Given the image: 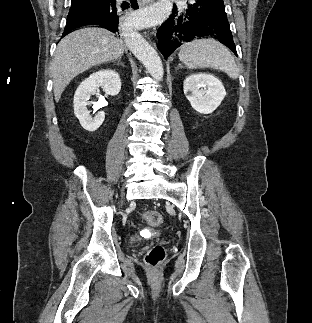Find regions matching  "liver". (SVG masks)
Instances as JSON below:
<instances>
[{"instance_id": "1", "label": "liver", "mask_w": 312, "mask_h": 323, "mask_svg": "<svg viewBox=\"0 0 312 323\" xmlns=\"http://www.w3.org/2000/svg\"><path fill=\"white\" fill-rule=\"evenodd\" d=\"M124 46L112 32L104 28H82L59 42L52 62L55 102L69 82L93 66L122 58Z\"/></svg>"}]
</instances>
